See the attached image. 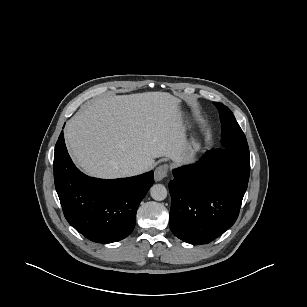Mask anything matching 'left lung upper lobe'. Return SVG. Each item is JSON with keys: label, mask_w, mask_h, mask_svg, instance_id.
Instances as JSON below:
<instances>
[{"label": "left lung upper lobe", "mask_w": 307, "mask_h": 307, "mask_svg": "<svg viewBox=\"0 0 307 307\" xmlns=\"http://www.w3.org/2000/svg\"><path fill=\"white\" fill-rule=\"evenodd\" d=\"M220 114L222 124V146L230 148L242 154L249 155V148L246 137L237 123L233 113L223 104L214 103Z\"/></svg>", "instance_id": "5c2ea615"}]
</instances>
